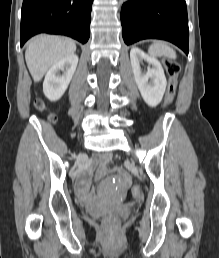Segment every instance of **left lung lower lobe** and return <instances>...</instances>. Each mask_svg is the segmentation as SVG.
<instances>
[{
    "mask_svg": "<svg viewBox=\"0 0 219 258\" xmlns=\"http://www.w3.org/2000/svg\"><path fill=\"white\" fill-rule=\"evenodd\" d=\"M122 36L127 45L155 38L170 41L188 55L185 0H129L121 9Z\"/></svg>",
    "mask_w": 219,
    "mask_h": 258,
    "instance_id": "left-lung-lower-lobe-1",
    "label": "left lung lower lobe"
}]
</instances>
